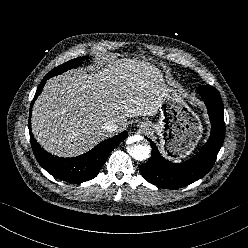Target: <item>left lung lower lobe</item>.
I'll return each instance as SVG.
<instances>
[{"mask_svg": "<svg viewBox=\"0 0 248 248\" xmlns=\"http://www.w3.org/2000/svg\"><path fill=\"white\" fill-rule=\"evenodd\" d=\"M203 98L211 121V135L208 142L193 158L183 163H172L164 159L157 146L152 147L151 158L139 165L143 177L151 184L162 188H182L206 175L212 168L225 136L224 111L221 96L210 85L197 88Z\"/></svg>", "mask_w": 248, "mask_h": 248, "instance_id": "obj_1", "label": "left lung lower lobe"}]
</instances>
